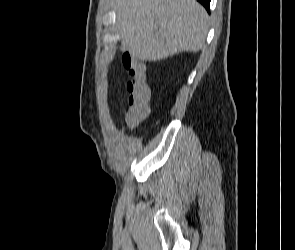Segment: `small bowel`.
<instances>
[{"mask_svg":"<svg viewBox=\"0 0 295 250\" xmlns=\"http://www.w3.org/2000/svg\"><path fill=\"white\" fill-rule=\"evenodd\" d=\"M122 63L125 69L132 77H144L147 78V67L144 63L137 60L131 54H124L122 57Z\"/></svg>","mask_w":295,"mask_h":250,"instance_id":"c3829d8e","label":"small bowel"}]
</instances>
